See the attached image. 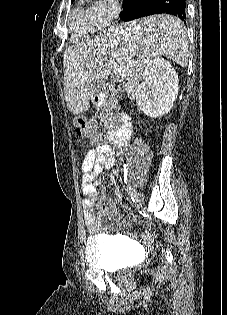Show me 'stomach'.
I'll use <instances>...</instances> for the list:
<instances>
[{"label": "stomach", "mask_w": 227, "mask_h": 315, "mask_svg": "<svg viewBox=\"0 0 227 315\" xmlns=\"http://www.w3.org/2000/svg\"><path fill=\"white\" fill-rule=\"evenodd\" d=\"M96 94H97L96 89H93V90L91 91V95H90L92 100L95 99Z\"/></svg>", "instance_id": "stomach-1"}]
</instances>
